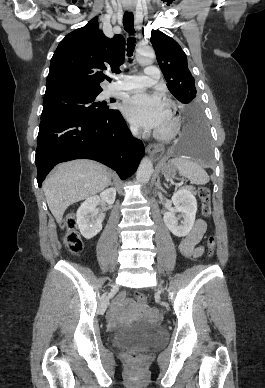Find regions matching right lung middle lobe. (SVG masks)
I'll return each instance as SVG.
<instances>
[{
	"label": "right lung middle lobe",
	"mask_w": 265,
	"mask_h": 388,
	"mask_svg": "<svg viewBox=\"0 0 265 388\" xmlns=\"http://www.w3.org/2000/svg\"><path fill=\"white\" fill-rule=\"evenodd\" d=\"M98 94L65 93L44 97L41 121L60 115L104 116L110 113L112 109L94 101Z\"/></svg>",
	"instance_id": "obj_1"
}]
</instances>
